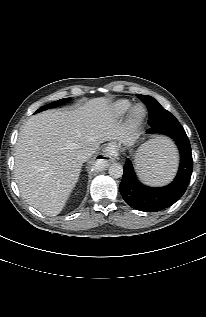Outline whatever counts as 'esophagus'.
<instances>
[{"label": "esophagus", "instance_id": "34e87169", "mask_svg": "<svg viewBox=\"0 0 206 317\" xmlns=\"http://www.w3.org/2000/svg\"><path fill=\"white\" fill-rule=\"evenodd\" d=\"M118 153V148L116 147H107L105 148V150L103 151V153L99 154L97 156V162L98 163H108L110 161H113L112 155H117Z\"/></svg>", "mask_w": 206, "mask_h": 317}]
</instances>
